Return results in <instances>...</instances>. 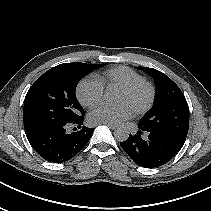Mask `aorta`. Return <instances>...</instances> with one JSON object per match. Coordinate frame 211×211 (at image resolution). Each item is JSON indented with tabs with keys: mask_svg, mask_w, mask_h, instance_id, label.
<instances>
[{
	"mask_svg": "<svg viewBox=\"0 0 211 211\" xmlns=\"http://www.w3.org/2000/svg\"><path fill=\"white\" fill-rule=\"evenodd\" d=\"M104 98L108 102H111L114 100V96L111 94L110 91H106ZM114 137L117 141H120V142L126 141L129 137V131L125 127L117 128L114 131Z\"/></svg>",
	"mask_w": 211,
	"mask_h": 211,
	"instance_id": "aorta-1",
	"label": "aorta"
}]
</instances>
